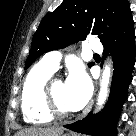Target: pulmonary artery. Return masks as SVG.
Instances as JSON below:
<instances>
[{
  "label": "pulmonary artery",
  "instance_id": "obj_1",
  "mask_svg": "<svg viewBox=\"0 0 136 136\" xmlns=\"http://www.w3.org/2000/svg\"><path fill=\"white\" fill-rule=\"evenodd\" d=\"M89 48L96 53H101L103 51L102 44L100 43L99 40L95 38L90 40ZM61 57L62 55L59 51H51L45 54V56L42 59V63L51 70L55 71L59 66Z\"/></svg>",
  "mask_w": 136,
  "mask_h": 136
}]
</instances>
